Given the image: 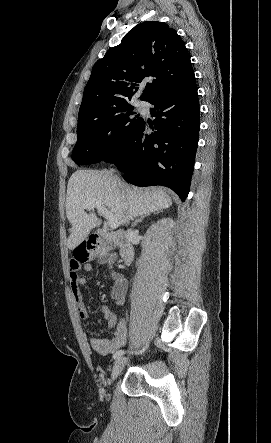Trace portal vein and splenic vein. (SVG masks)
Segmentation results:
<instances>
[{
	"mask_svg": "<svg viewBox=\"0 0 271 443\" xmlns=\"http://www.w3.org/2000/svg\"><path fill=\"white\" fill-rule=\"evenodd\" d=\"M83 208H86V210H94V208H97L99 214L106 218L109 227H112V229L118 227L119 222L117 218H115L111 212H108L107 208H105L101 202H88V204H84Z\"/></svg>",
	"mask_w": 271,
	"mask_h": 443,
	"instance_id": "obj_1",
	"label": "portal vein and splenic vein"
}]
</instances>
